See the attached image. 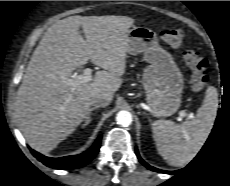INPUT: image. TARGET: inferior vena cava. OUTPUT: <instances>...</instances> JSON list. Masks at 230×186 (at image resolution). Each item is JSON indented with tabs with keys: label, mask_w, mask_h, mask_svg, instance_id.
I'll return each mask as SVG.
<instances>
[{
	"label": "inferior vena cava",
	"mask_w": 230,
	"mask_h": 186,
	"mask_svg": "<svg viewBox=\"0 0 230 186\" xmlns=\"http://www.w3.org/2000/svg\"><path fill=\"white\" fill-rule=\"evenodd\" d=\"M110 104V99L104 94L93 95L90 99V105L95 107H106Z\"/></svg>",
	"instance_id": "1"
}]
</instances>
